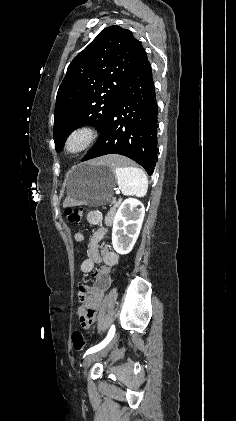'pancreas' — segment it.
Listing matches in <instances>:
<instances>
[{
    "label": "pancreas",
    "mask_w": 236,
    "mask_h": 421,
    "mask_svg": "<svg viewBox=\"0 0 236 421\" xmlns=\"http://www.w3.org/2000/svg\"><path fill=\"white\" fill-rule=\"evenodd\" d=\"M119 204L120 202H114L113 206H111L110 211H108L105 217V225H112Z\"/></svg>",
    "instance_id": "obj_1"
}]
</instances>
